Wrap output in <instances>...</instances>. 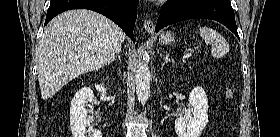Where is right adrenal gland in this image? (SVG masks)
<instances>
[{"label": "right adrenal gland", "instance_id": "1", "mask_svg": "<svg viewBox=\"0 0 280 137\" xmlns=\"http://www.w3.org/2000/svg\"><path fill=\"white\" fill-rule=\"evenodd\" d=\"M120 53H121V48L118 49V51L116 52V55L112 57V61H114L117 57L119 59V61L121 62V56H120Z\"/></svg>", "mask_w": 280, "mask_h": 137}]
</instances>
